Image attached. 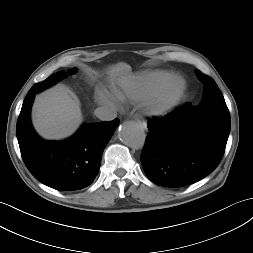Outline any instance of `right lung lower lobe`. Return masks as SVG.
Wrapping results in <instances>:
<instances>
[{
	"instance_id": "1",
	"label": "right lung lower lobe",
	"mask_w": 253,
	"mask_h": 253,
	"mask_svg": "<svg viewBox=\"0 0 253 253\" xmlns=\"http://www.w3.org/2000/svg\"><path fill=\"white\" fill-rule=\"evenodd\" d=\"M35 94H27L16 128L26 167L37 180L56 190L74 191L89 186L98 174L103 150L119 120L89 123L64 141H44L30 121Z\"/></svg>"
}]
</instances>
